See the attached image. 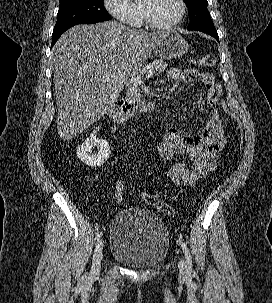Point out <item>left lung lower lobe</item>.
<instances>
[{"label":"left lung lower lobe","instance_id":"left-lung-lower-lobe-1","mask_svg":"<svg viewBox=\"0 0 272 303\" xmlns=\"http://www.w3.org/2000/svg\"><path fill=\"white\" fill-rule=\"evenodd\" d=\"M200 31L213 36L217 41H219V37H218L217 31L215 28L214 29H204V30H200Z\"/></svg>","mask_w":272,"mask_h":303}]
</instances>
